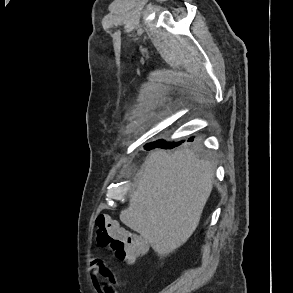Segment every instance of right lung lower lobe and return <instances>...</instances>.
Returning a JSON list of instances; mask_svg holds the SVG:
<instances>
[{
	"label": "right lung lower lobe",
	"mask_w": 293,
	"mask_h": 293,
	"mask_svg": "<svg viewBox=\"0 0 293 293\" xmlns=\"http://www.w3.org/2000/svg\"><path fill=\"white\" fill-rule=\"evenodd\" d=\"M181 142H183V141H181ZM180 143H176V144L170 143V142L165 143L163 140H159V141H156V142L148 143L144 147H145L146 150H151V149H154L156 147L169 148L170 149V148H173V147L179 145Z\"/></svg>",
	"instance_id": "98d812e1"
}]
</instances>
